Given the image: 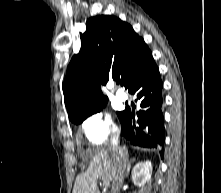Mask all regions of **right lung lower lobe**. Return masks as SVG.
<instances>
[{"mask_svg":"<svg viewBox=\"0 0 221 193\" xmlns=\"http://www.w3.org/2000/svg\"><path fill=\"white\" fill-rule=\"evenodd\" d=\"M162 81L154 59L131 80L128 91L136 95L140 110L126 108L121 119V135L133 145L161 149L164 154V117L162 113Z\"/></svg>","mask_w":221,"mask_h":193,"instance_id":"obj_1","label":"right lung lower lobe"}]
</instances>
